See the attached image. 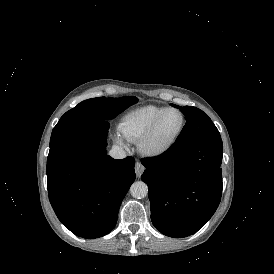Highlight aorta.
I'll return each mask as SVG.
<instances>
[{
  "instance_id": "762f6f07",
  "label": "aorta",
  "mask_w": 274,
  "mask_h": 274,
  "mask_svg": "<svg viewBox=\"0 0 274 274\" xmlns=\"http://www.w3.org/2000/svg\"><path fill=\"white\" fill-rule=\"evenodd\" d=\"M131 196L137 199H141L147 196L148 187L142 181L134 182L130 187Z\"/></svg>"
}]
</instances>
